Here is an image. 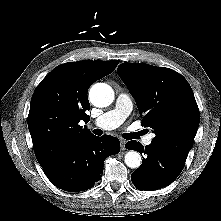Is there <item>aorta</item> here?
<instances>
[{"label": "aorta", "mask_w": 221, "mask_h": 221, "mask_svg": "<svg viewBox=\"0 0 221 221\" xmlns=\"http://www.w3.org/2000/svg\"><path fill=\"white\" fill-rule=\"evenodd\" d=\"M91 103L96 107H107L114 99L113 89L105 83L94 84L89 91ZM125 164L132 169L141 165V156L136 151H129L125 155Z\"/></svg>", "instance_id": "1"}]
</instances>
